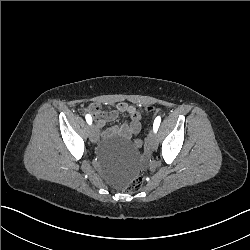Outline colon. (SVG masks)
<instances>
[{"mask_svg": "<svg viewBox=\"0 0 250 250\" xmlns=\"http://www.w3.org/2000/svg\"><path fill=\"white\" fill-rule=\"evenodd\" d=\"M143 110L145 113L150 114L153 112L154 109L152 106L147 105L144 107ZM131 117L133 120L138 121V120L142 119V114L138 113L137 111H134L131 114ZM134 144L136 147L139 148L142 146L143 141L141 138L138 137L135 139ZM144 181H145V179H144L143 175H140V174L136 175L135 178L132 179L129 184L127 183V184L123 185V188H122L123 193L128 195V194H131L132 192L138 191L141 188V186L144 184Z\"/></svg>", "mask_w": 250, "mask_h": 250, "instance_id": "1", "label": "colon"}]
</instances>
